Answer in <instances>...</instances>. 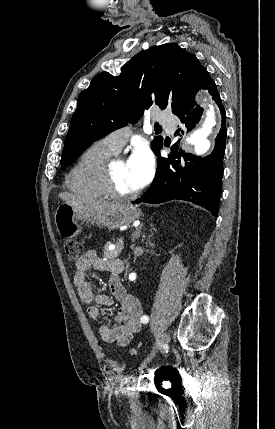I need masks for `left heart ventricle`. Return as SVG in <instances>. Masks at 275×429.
Returning <instances> with one entry per match:
<instances>
[{
    "mask_svg": "<svg viewBox=\"0 0 275 429\" xmlns=\"http://www.w3.org/2000/svg\"><path fill=\"white\" fill-rule=\"evenodd\" d=\"M112 167L115 183L119 191L123 193H132L137 190L131 181L126 161L120 159L115 160Z\"/></svg>",
    "mask_w": 275,
    "mask_h": 429,
    "instance_id": "left-heart-ventricle-1",
    "label": "left heart ventricle"
}]
</instances>
